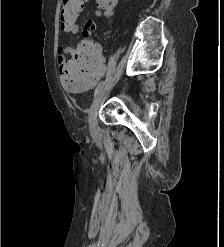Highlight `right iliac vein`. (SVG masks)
Wrapping results in <instances>:
<instances>
[{
	"mask_svg": "<svg viewBox=\"0 0 224 247\" xmlns=\"http://www.w3.org/2000/svg\"><path fill=\"white\" fill-rule=\"evenodd\" d=\"M104 94H105V90H101L97 94L89 110V125H90V130L93 134H96L98 132L97 115Z\"/></svg>",
	"mask_w": 224,
	"mask_h": 247,
	"instance_id": "63e3f726",
	"label": "right iliac vein"
}]
</instances>
